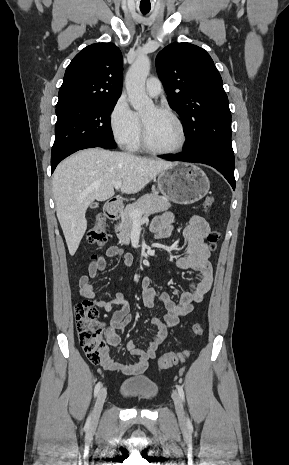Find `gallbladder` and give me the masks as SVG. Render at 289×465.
I'll return each instance as SVG.
<instances>
[{
  "label": "gallbladder",
  "instance_id": "bac80fb5",
  "mask_svg": "<svg viewBox=\"0 0 289 465\" xmlns=\"http://www.w3.org/2000/svg\"><path fill=\"white\" fill-rule=\"evenodd\" d=\"M90 207H91V208L97 207V203H92V204L90 205Z\"/></svg>",
  "mask_w": 289,
  "mask_h": 465
}]
</instances>
